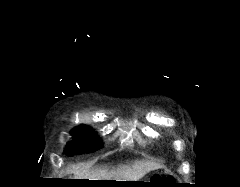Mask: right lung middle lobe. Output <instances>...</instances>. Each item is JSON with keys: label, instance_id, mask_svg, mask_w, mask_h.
Masks as SVG:
<instances>
[{"label": "right lung middle lobe", "instance_id": "right-lung-middle-lobe-1", "mask_svg": "<svg viewBox=\"0 0 240 187\" xmlns=\"http://www.w3.org/2000/svg\"><path fill=\"white\" fill-rule=\"evenodd\" d=\"M73 141L67 145L68 155L90 153L101 147L100 139L87 127H78L72 131Z\"/></svg>", "mask_w": 240, "mask_h": 187}]
</instances>
